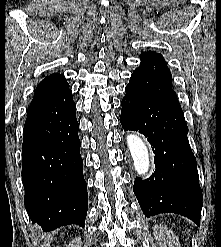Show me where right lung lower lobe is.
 Returning <instances> with one entry per match:
<instances>
[{
	"mask_svg": "<svg viewBox=\"0 0 221 247\" xmlns=\"http://www.w3.org/2000/svg\"><path fill=\"white\" fill-rule=\"evenodd\" d=\"M71 89L30 104L24 125L22 181L30 219L52 231L84 227L87 184Z\"/></svg>",
	"mask_w": 221,
	"mask_h": 247,
	"instance_id": "1",
	"label": "right lung lower lobe"
}]
</instances>
